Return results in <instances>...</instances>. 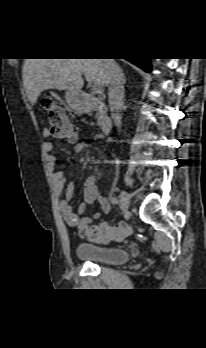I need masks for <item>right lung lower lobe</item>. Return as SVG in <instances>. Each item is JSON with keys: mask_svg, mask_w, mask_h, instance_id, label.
I'll return each mask as SVG.
<instances>
[{"mask_svg": "<svg viewBox=\"0 0 206 348\" xmlns=\"http://www.w3.org/2000/svg\"><path fill=\"white\" fill-rule=\"evenodd\" d=\"M128 61H130L131 63L137 65L138 67H140L141 69L150 72L151 71V62L150 59L148 58H137V59H126Z\"/></svg>", "mask_w": 206, "mask_h": 348, "instance_id": "obj_1", "label": "right lung lower lobe"}]
</instances>
